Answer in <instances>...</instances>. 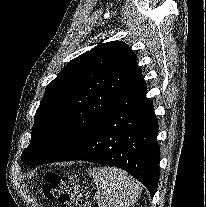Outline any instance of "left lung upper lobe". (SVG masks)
Returning <instances> with one entry per match:
<instances>
[{
	"label": "left lung upper lobe",
	"instance_id": "left-lung-upper-lobe-1",
	"mask_svg": "<svg viewBox=\"0 0 206 207\" xmlns=\"http://www.w3.org/2000/svg\"><path fill=\"white\" fill-rule=\"evenodd\" d=\"M141 74L136 55L120 41L101 43L70 61L46 87L24 164L59 162L74 153Z\"/></svg>",
	"mask_w": 206,
	"mask_h": 207
}]
</instances>
